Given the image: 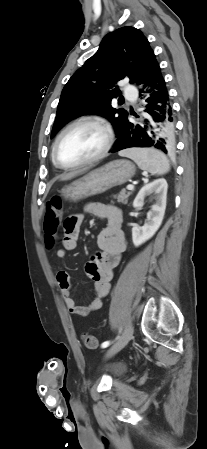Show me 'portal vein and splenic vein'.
I'll use <instances>...</instances> for the list:
<instances>
[{
	"label": "portal vein and splenic vein",
	"instance_id": "obj_1",
	"mask_svg": "<svg viewBox=\"0 0 207 449\" xmlns=\"http://www.w3.org/2000/svg\"><path fill=\"white\" fill-rule=\"evenodd\" d=\"M127 189H128V190H133V189H134V185L129 184V185L127 186Z\"/></svg>",
	"mask_w": 207,
	"mask_h": 449
}]
</instances>
